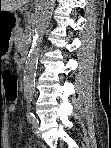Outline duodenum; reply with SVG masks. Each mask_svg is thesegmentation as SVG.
<instances>
[{"mask_svg":"<svg viewBox=\"0 0 111 148\" xmlns=\"http://www.w3.org/2000/svg\"><path fill=\"white\" fill-rule=\"evenodd\" d=\"M20 63L22 64V66H25L26 58L23 55H20Z\"/></svg>","mask_w":111,"mask_h":148,"instance_id":"obj_1","label":"duodenum"}]
</instances>
